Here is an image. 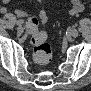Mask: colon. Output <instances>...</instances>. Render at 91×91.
Listing matches in <instances>:
<instances>
[{
    "mask_svg": "<svg viewBox=\"0 0 91 91\" xmlns=\"http://www.w3.org/2000/svg\"><path fill=\"white\" fill-rule=\"evenodd\" d=\"M47 15L33 16L27 19V33L33 46V58L39 65H46L52 58L51 46L48 43V36L45 32L39 30V25L46 22Z\"/></svg>",
    "mask_w": 91,
    "mask_h": 91,
    "instance_id": "colon-1",
    "label": "colon"
}]
</instances>
